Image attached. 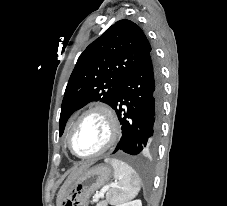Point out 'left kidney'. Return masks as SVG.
Returning <instances> with one entry per match:
<instances>
[{"mask_svg": "<svg viewBox=\"0 0 227 206\" xmlns=\"http://www.w3.org/2000/svg\"><path fill=\"white\" fill-rule=\"evenodd\" d=\"M117 206H142V203L141 200H134L123 204H119Z\"/></svg>", "mask_w": 227, "mask_h": 206, "instance_id": "obj_1", "label": "left kidney"}]
</instances>
